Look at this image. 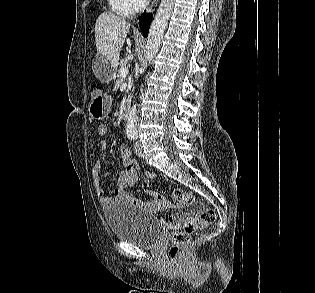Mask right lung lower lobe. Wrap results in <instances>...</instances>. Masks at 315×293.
<instances>
[{"instance_id": "obj_1", "label": "right lung lower lobe", "mask_w": 315, "mask_h": 293, "mask_svg": "<svg viewBox=\"0 0 315 293\" xmlns=\"http://www.w3.org/2000/svg\"><path fill=\"white\" fill-rule=\"evenodd\" d=\"M151 23V15L143 13L140 17L139 26L141 31L143 32L144 37L148 35L149 26Z\"/></svg>"}]
</instances>
